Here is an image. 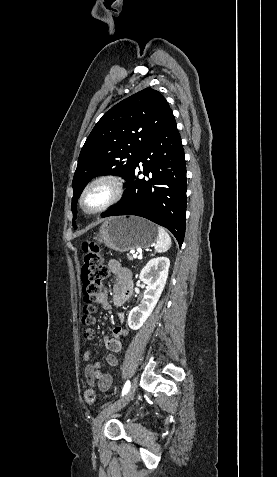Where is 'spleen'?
I'll return each mask as SVG.
<instances>
[{"instance_id": "obj_1", "label": "spleen", "mask_w": 277, "mask_h": 477, "mask_svg": "<svg viewBox=\"0 0 277 477\" xmlns=\"http://www.w3.org/2000/svg\"><path fill=\"white\" fill-rule=\"evenodd\" d=\"M171 247V238L164 228L158 227V238L155 245V251L158 253L166 252Z\"/></svg>"}]
</instances>
